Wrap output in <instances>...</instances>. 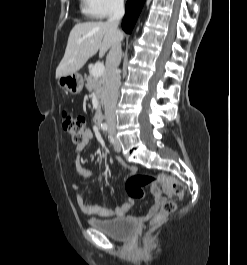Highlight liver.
Instances as JSON below:
<instances>
[{
    "label": "liver",
    "instance_id": "obj_1",
    "mask_svg": "<svg viewBox=\"0 0 247 265\" xmlns=\"http://www.w3.org/2000/svg\"><path fill=\"white\" fill-rule=\"evenodd\" d=\"M119 39H123V34L108 22L77 23L69 34L56 78L76 73L98 50L103 57Z\"/></svg>",
    "mask_w": 247,
    "mask_h": 265
}]
</instances>
